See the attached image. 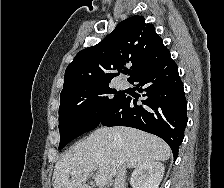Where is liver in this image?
<instances>
[{
  "label": "liver",
  "instance_id": "liver-1",
  "mask_svg": "<svg viewBox=\"0 0 224 188\" xmlns=\"http://www.w3.org/2000/svg\"><path fill=\"white\" fill-rule=\"evenodd\" d=\"M172 152L159 137L128 127H104L69 149L56 163L53 188H86L89 167L111 180L120 166L137 168L153 161L168 160ZM74 171H82L72 176ZM70 175L72 178L70 179Z\"/></svg>",
  "mask_w": 224,
  "mask_h": 188
}]
</instances>
